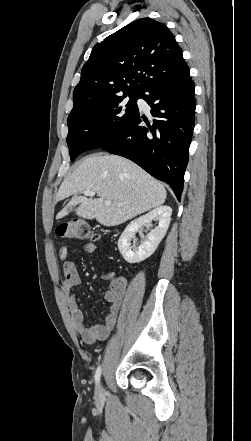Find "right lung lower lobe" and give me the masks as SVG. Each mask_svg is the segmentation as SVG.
<instances>
[{"label":"right lung lower lobe","mask_w":251,"mask_h":441,"mask_svg":"<svg viewBox=\"0 0 251 441\" xmlns=\"http://www.w3.org/2000/svg\"><path fill=\"white\" fill-rule=\"evenodd\" d=\"M139 98L148 103L154 118L148 121L138 110L100 148L132 160L153 177L168 183L180 201L196 107L188 66L151 83Z\"/></svg>","instance_id":"1"}]
</instances>
